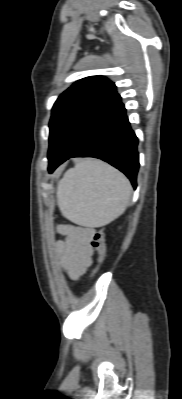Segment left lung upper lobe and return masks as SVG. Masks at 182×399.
<instances>
[{
  "instance_id": "5c2ea615",
  "label": "left lung upper lobe",
  "mask_w": 182,
  "mask_h": 399,
  "mask_svg": "<svg viewBox=\"0 0 182 399\" xmlns=\"http://www.w3.org/2000/svg\"><path fill=\"white\" fill-rule=\"evenodd\" d=\"M116 95L115 84L103 76L83 78L62 93L49 123V162L62 153L82 122Z\"/></svg>"
}]
</instances>
